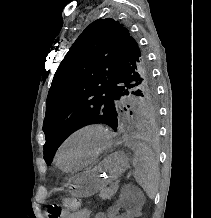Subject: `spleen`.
Segmentation results:
<instances>
[{"label": "spleen", "mask_w": 211, "mask_h": 218, "mask_svg": "<svg viewBox=\"0 0 211 218\" xmlns=\"http://www.w3.org/2000/svg\"><path fill=\"white\" fill-rule=\"evenodd\" d=\"M132 166L137 184L143 188L150 200H154L159 188L160 174L153 152L143 150V148L135 150Z\"/></svg>", "instance_id": "3e777b00"}]
</instances>
